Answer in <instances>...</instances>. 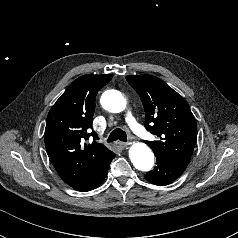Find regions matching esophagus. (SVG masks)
Masks as SVG:
<instances>
[{"instance_id": "obj_1", "label": "esophagus", "mask_w": 238, "mask_h": 238, "mask_svg": "<svg viewBox=\"0 0 238 238\" xmlns=\"http://www.w3.org/2000/svg\"><path fill=\"white\" fill-rule=\"evenodd\" d=\"M118 145L121 146L122 148H126V147H128L130 145V143L119 141Z\"/></svg>"}]
</instances>
